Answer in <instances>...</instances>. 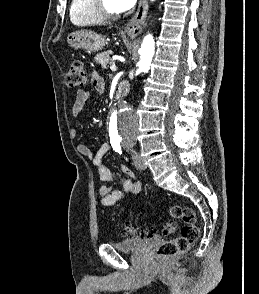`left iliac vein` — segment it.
<instances>
[{
    "instance_id": "1",
    "label": "left iliac vein",
    "mask_w": 259,
    "mask_h": 294,
    "mask_svg": "<svg viewBox=\"0 0 259 294\" xmlns=\"http://www.w3.org/2000/svg\"><path fill=\"white\" fill-rule=\"evenodd\" d=\"M133 160H134V164L135 166L140 169V170H145L146 166L142 160V158L140 157V155L138 153H133Z\"/></svg>"
}]
</instances>
